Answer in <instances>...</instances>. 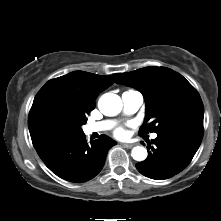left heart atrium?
Wrapping results in <instances>:
<instances>
[{
	"label": "left heart atrium",
	"mask_w": 221,
	"mask_h": 221,
	"mask_svg": "<svg viewBox=\"0 0 221 221\" xmlns=\"http://www.w3.org/2000/svg\"><path fill=\"white\" fill-rule=\"evenodd\" d=\"M115 135L117 137H124L125 136V130L122 127H119L115 130Z\"/></svg>",
	"instance_id": "39dd6f15"
}]
</instances>
